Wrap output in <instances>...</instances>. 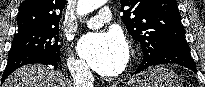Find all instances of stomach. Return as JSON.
<instances>
[{
	"label": "stomach",
	"mask_w": 205,
	"mask_h": 87,
	"mask_svg": "<svg viewBox=\"0 0 205 87\" xmlns=\"http://www.w3.org/2000/svg\"><path fill=\"white\" fill-rule=\"evenodd\" d=\"M127 87H181V82L171 70L156 66L134 75Z\"/></svg>",
	"instance_id": "stomach-1"
}]
</instances>
